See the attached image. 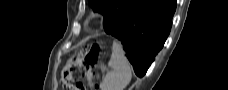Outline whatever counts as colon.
Wrapping results in <instances>:
<instances>
[{
	"label": "colon",
	"mask_w": 228,
	"mask_h": 90,
	"mask_svg": "<svg viewBox=\"0 0 228 90\" xmlns=\"http://www.w3.org/2000/svg\"><path fill=\"white\" fill-rule=\"evenodd\" d=\"M98 54L99 45L94 43L68 60L61 72L62 83L66 90H85L81 82L74 80L72 71L75 67H82L84 76L90 81L92 71L98 64Z\"/></svg>",
	"instance_id": "1"
}]
</instances>
